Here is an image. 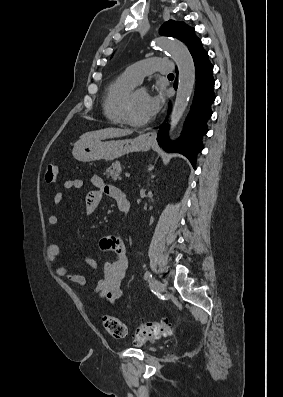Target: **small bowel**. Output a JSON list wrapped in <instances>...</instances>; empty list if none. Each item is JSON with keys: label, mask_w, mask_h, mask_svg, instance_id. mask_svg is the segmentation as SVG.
<instances>
[{"label": "small bowel", "mask_w": 283, "mask_h": 397, "mask_svg": "<svg viewBox=\"0 0 283 397\" xmlns=\"http://www.w3.org/2000/svg\"><path fill=\"white\" fill-rule=\"evenodd\" d=\"M93 189L90 190L85 199V210L87 215H92L98 209L104 195L112 198L118 205L127 200L126 194L116 186L107 185L100 176L94 175L91 178ZM84 181L81 179H70L65 181L66 189H81ZM64 200L62 192L54 195L53 203L59 206ZM48 223L51 226L59 224L57 215H50ZM100 248L106 252H112L115 255L114 260L106 262L102 268V278L92 287L91 293L98 295L102 300L114 305L118 300L124 297V290L121 286L128 268V257L123 240L117 236H106L100 241ZM61 253V247L58 244H50L46 250L48 261L54 266L56 275L65 278L67 281L79 286L86 284V279L81 274L70 271L67 267L57 265V258ZM83 261L91 268H97L98 263L91 257L83 258Z\"/></svg>", "instance_id": "1"}]
</instances>
